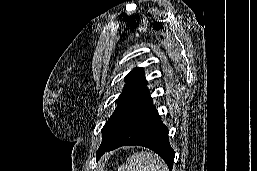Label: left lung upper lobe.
Listing matches in <instances>:
<instances>
[{
  "mask_svg": "<svg viewBox=\"0 0 257 171\" xmlns=\"http://www.w3.org/2000/svg\"><path fill=\"white\" fill-rule=\"evenodd\" d=\"M126 80L127 83L117 101L118 106L102 129L101 145L117 137L152 101L146 88L143 68H134L126 76Z\"/></svg>",
  "mask_w": 257,
  "mask_h": 171,
  "instance_id": "left-lung-upper-lobe-1",
  "label": "left lung upper lobe"
}]
</instances>
